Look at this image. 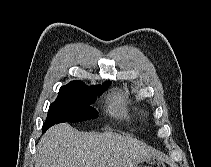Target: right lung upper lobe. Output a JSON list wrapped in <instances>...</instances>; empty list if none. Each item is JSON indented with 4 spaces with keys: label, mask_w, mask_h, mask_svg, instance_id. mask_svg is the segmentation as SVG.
<instances>
[{
    "label": "right lung upper lobe",
    "mask_w": 211,
    "mask_h": 167,
    "mask_svg": "<svg viewBox=\"0 0 211 167\" xmlns=\"http://www.w3.org/2000/svg\"><path fill=\"white\" fill-rule=\"evenodd\" d=\"M80 84H84V83L81 82V81H72V82L68 83L67 85L62 86L60 89H65V88H68V87H71V86L80 85Z\"/></svg>",
    "instance_id": "obj_1"
}]
</instances>
